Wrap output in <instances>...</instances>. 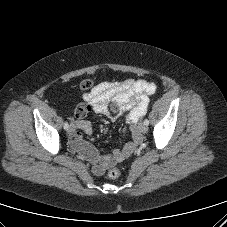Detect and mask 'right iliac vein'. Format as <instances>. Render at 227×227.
I'll return each mask as SVG.
<instances>
[{"label":"right iliac vein","mask_w":227,"mask_h":227,"mask_svg":"<svg viewBox=\"0 0 227 227\" xmlns=\"http://www.w3.org/2000/svg\"><path fill=\"white\" fill-rule=\"evenodd\" d=\"M74 131V125H70V127L68 128V133L71 134Z\"/></svg>","instance_id":"63e3f726"}]
</instances>
